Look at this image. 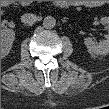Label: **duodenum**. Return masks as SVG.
I'll use <instances>...</instances> for the list:
<instances>
[{
  "label": "duodenum",
  "instance_id": "duodenum-1",
  "mask_svg": "<svg viewBox=\"0 0 109 109\" xmlns=\"http://www.w3.org/2000/svg\"><path fill=\"white\" fill-rule=\"evenodd\" d=\"M56 4H57V6L63 7V8L73 5V3L70 2V1H57ZM3 6L8 7L9 6V1H4Z\"/></svg>",
  "mask_w": 109,
  "mask_h": 109
}]
</instances>
